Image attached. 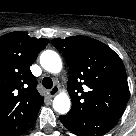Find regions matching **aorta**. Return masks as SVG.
<instances>
[{
	"label": "aorta",
	"instance_id": "aorta-1",
	"mask_svg": "<svg viewBox=\"0 0 136 136\" xmlns=\"http://www.w3.org/2000/svg\"><path fill=\"white\" fill-rule=\"evenodd\" d=\"M40 64L50 73H59L62 69L60 56L52 50H46L40 55ZM71 101L67 94L60 93L53 100V108L59 114H66L70 110Z\"/></svg>",
	"mask_w": 136,
	"mask_h": 136
}]
</instances>
